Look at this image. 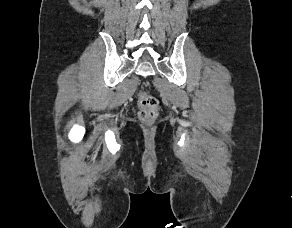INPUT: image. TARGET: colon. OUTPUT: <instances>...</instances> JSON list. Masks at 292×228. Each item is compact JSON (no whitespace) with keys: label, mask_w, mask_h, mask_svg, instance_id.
Masks as SVG:
<instances>
[{"label":"colon","mask_w":292,"mask_h":228,"mask_svg":"<svg viewBox=\"0 0 292 228\" xmlns=\"http://www.w3.org/2000/svg\"><path fill=\"white\" fill-rule=\"evenodd\" d=\"M138 103L140 107L139 116L144 122H152L158 113L159 102L156 97L140 92L138 95Z\"/></svg>","instance_id":"5ec220e1"}]
</instances>
